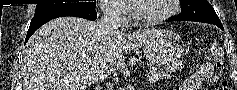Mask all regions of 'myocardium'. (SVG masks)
Listing matches in <instances>:
<instances>
[{"label":"myocardium","mask_w":237,"mask_h":90,"mask_svg":"<svg viewBox=\"0 0 237 90\" xmlns=\"http://www.w3.org/2000/svg\"><path fill=\"white\" fill-rule=\"evenodd\" d=\"M164 3H167V8L165 11L154 17H143L139 14L138 9L136 8V1H130V12L133 19V28H144L145 26L158 24L166 19L171 18L177 10L175 3H182V0H161Z\"/></svg>","instance_id":"1"}]
</instances>
